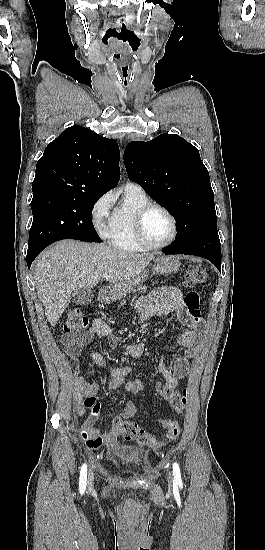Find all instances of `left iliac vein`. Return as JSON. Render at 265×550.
Masks as SVG:
<instances>
[{
  "mask_svg": "<svg viewBox=\"0 0 265 550\" xmlns=\"http://www.w3.org/2000/svg\"><path fill=\"white\" fill-rule=\"evenodd\" d=\"M168 478H169V481L171 482V481H172V475H171V473H169Z\"/></svg>",
  "mask_w": 265,
  "mask_h": 550,
  "instance_id": "obj_1",
  "label": "left iliac vein"
}]
</instances>
